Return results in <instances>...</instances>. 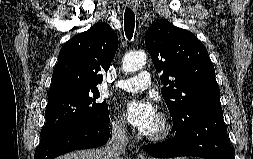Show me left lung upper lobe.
I'll return each instance as SVG.
<instances>
[{
	"instance_id": "1",
	"label": "left lung upper lobe",
	"mask_w": 253,
	"mask_h": 159,
	"mask_svg": "<svg viewBox=\"0 0 253 159\" xmlns=\"http://www.w3.org/2000/svg\"><path fill=\"white\" fill-rule=\"evenodd\" d=\"M145 44L156 70L163 72L161 93L174 127L188 112L222 110L214 66L194 34L160 20L146 32Z\"/></svg>"
}]
</instances>
